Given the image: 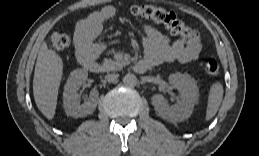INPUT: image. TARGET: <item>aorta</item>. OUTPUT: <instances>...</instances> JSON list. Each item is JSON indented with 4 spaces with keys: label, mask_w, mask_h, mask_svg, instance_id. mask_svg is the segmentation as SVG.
Returning a JSON list of instances; mask_svg holds the SVG:
<instances>
[{
    "label": "aorta",
    "mask_w": 259,
    "mask_h": 156,
    "mask_svg": "<svg viewBox=\"0 0 259 156\" xmlns=\"http://www.w3.org/2000/svg\"><path fill=\"white\" fill-rule=\"evenodd\" d=\"M123 82L126 86L134 87L137 85V77L134 74L128 73L124 76Z\"/></svg>",
    "instance_id": "obj_1"
}]
</instances>
